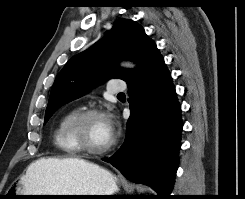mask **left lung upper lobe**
<instances>
[{"label": "left lung upper lobe", "mask_w": 245, "mask_h": 199, "mask_svg": "<svg viewBox=\"0 0 245 199\" xmlns=\"http://www.w3.org/2000/svg\"><path fill=\"white\" fill-rule=\"evenodd\" d=\"M156 44L135 21L119 19L105 37L86 51L72 57L58 74L46 108L45 121L64 104L89 92L109 77L126 82L144 71ZM116 59L135 61L137 69H123L114 64Z\"/></svg>", "instance_id": "5c2ea615"}]
</instances>
